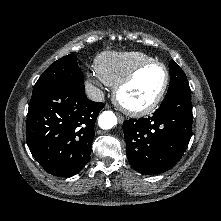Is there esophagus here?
Masks as SVG:
<instances>
[{
    "label": "esophagus",
    "mask_w": 221,
    "mask_h": 221,
    "mask_svg": "<svg viewBox=\"0 0 221 221\" xmlns=\"http://www.w3.org/2000/svg\"><path fill=\"white\" fill-rule=\"evenodd\" d=\"M118 120L120 123L124 122V117L118 114Z\"/></svg>",
    "instance_id": "obj_1"
}]
</instances>
